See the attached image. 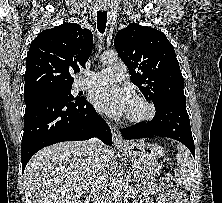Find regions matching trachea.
<instances>
[{
    "mask_svg": "<svg viewBox=\"0 0 222 203\" xmlns=\"http://www.w3.org/2000/svg\"><path fill=\"white\" fill-rule=\"evenodd\" d=\"M107 23V11H99L97 13V28L100 33H104Z\"/></svg>",
    "mask_w": 222,
    "mask_h": 203,
    "instance_id": "3493384b",
    "label": "trachea"
}]
</instances>
